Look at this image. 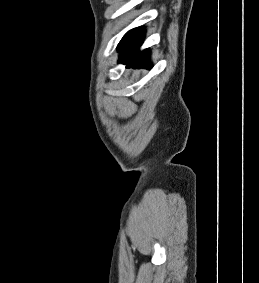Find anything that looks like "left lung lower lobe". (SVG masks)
<instances>
[{
    "instance_id": "1",
    "label": "left lung lower lobe",
    "mask_w": 259,
    "mask_h": 283,
    "mask_svg": "<svg viewBox=\"0 0 259 283\" xmlns=\"http://www.w3.org/2000/svg\"><path fill=\"white\" fill-rule=\"evenodd\" d=\"M144 36L145 30L142 27L134 28L124 35L118 44L120 63L127 64V67H152L148 62V57L150 55L149 50L145 49L143 51H139V47L143 43Z\"/></svg>"
}]
</instances>
